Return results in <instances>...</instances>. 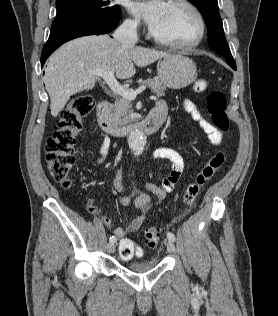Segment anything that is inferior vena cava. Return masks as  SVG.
Returning a JSON list of instances; mask_svg holds the SVG:
<instances>
[{
  "instance_id": "inferior-vena-cava-1",
  "label": "inferior vena cava",
  "mask_w": 278,
  "mask_h": 316,
  "mask_svg": "<svg viewBox=\"0 0 278 316\" xmlns=\"http://www.w3.org/2000/svg\"><path fill=\"white\" fill-rule=\"evenodd\" d=\"M113 37L124 46H134L138 41L137 22L125 21L116 29Z\"/></svg>"
}]
</instances>
